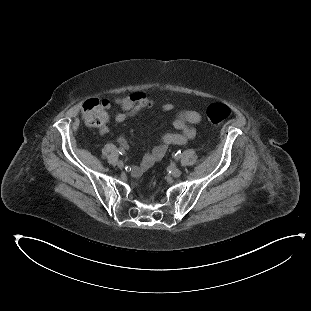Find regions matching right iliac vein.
<instances>
[{"instance_id":"obj_1","label":"right iliac vein","mask_w":311,"mask_h":311,"mask_svg":"<svg viewBox=\"0 0 311 311\" xmlns=\"http://www.w3.org/2000/svg\"><path fill=\"white\" fill-rule=\"evenodd\" d=\"M117 166H118V168H120V169H123L124 168V162L123 161H118L117 162Z\"/></svg>"}]
</instances>
